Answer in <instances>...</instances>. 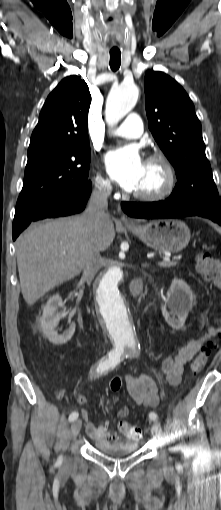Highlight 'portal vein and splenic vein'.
Listing matches in <instances>:
<instances>
[{"mask_svg": "<svg viewBox=\"0 0 221 510\" xmlns=\"http://www.w3.org/2000/svg\"><path fill=\"white\" fill-rule=\"evenodd\" d=\"M173 262H171L169 259H164L163 261L158 262V265L161 267H166L172 265Z\"/></svg>", "mask_w": 221, "mask_h": 510, "instance_id": "obj_1", "label": "portal vein and splenic vein"}]
</instances>
